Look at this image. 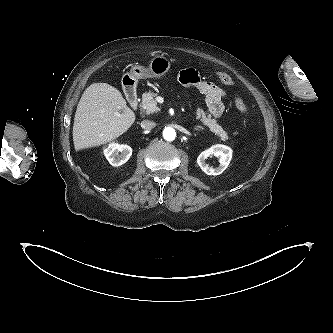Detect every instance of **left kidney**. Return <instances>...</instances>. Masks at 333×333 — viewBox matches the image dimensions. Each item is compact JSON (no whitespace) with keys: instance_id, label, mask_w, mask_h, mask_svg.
Instances as JSON below:
<instances>
[{"instance_id":"obj_1","label":"left kidney","mask_w":333,"mask_h":333,"mask_svg":"<svg viewBox=\"0 0 333 333\" xmlns=\"http://www.w3.org/2000/svg\"><path fill=\"white\" fill-rule=\"evenodd\" d=\"M214 155L219 159L220 165L216 168L209 167L206 163V159ZM232 158V149L228 146L216 144L211 148L201 152V154L197 158V163L199 167L204 171L207 175H219L221 174L229 165Z\"/></svg>"}]
</instances>
